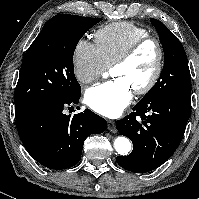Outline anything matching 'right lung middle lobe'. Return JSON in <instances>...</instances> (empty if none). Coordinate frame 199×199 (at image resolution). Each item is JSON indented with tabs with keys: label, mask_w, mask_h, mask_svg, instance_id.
I'll return each instance as SVG.
<instances>
[{
	"label": "right lung middle lobe",
	"mask_w": 199,
	"mask_h": 199,
	"mask_svg": "<svg viewBox=\"0 0 199 199\" xmlns=\"http://www.w3.org/2000/svg\"><path fill=\"white\" fill-rule=\"evenodd\" d=\"M101 21L58 14L45 24L27 50L15 89V118L81 95L74 75L73 55L82 36Z\"/></svg>",
	"instance_id": "dd1d6c3e"
}]
</instances>
